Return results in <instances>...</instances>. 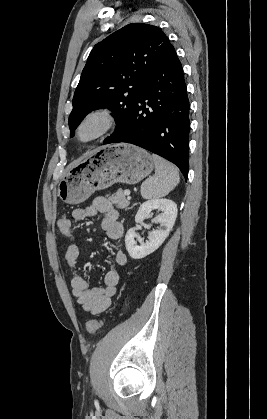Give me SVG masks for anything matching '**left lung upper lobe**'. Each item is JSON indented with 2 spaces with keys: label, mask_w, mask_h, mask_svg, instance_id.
<instances>
[{
  "label": "left lung upper lobe",
  "mask_w": 267,
  "mask_h": 419,
  "mask_svg": "<svg viewBox=\"0 0 267 419\" xmlns=\"http://www.w3.org/2000/svg\"><path fill=\"white\" fill-rule=\"evenodd\" d=\"M170 41L158 27L132 23L92 49L73 97L70 137L86 114L107 108L117 125L146 89V79L164 58Z\"/></svg>",
  "instance_id": "left-lung-upper-lobe-1"
}]
</instances>
